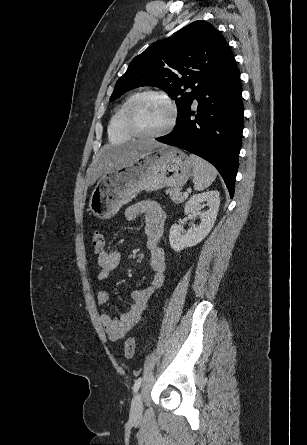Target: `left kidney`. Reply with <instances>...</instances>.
<instances>
[{"mask_svg":"<svg viewBox=\"0 0 307 445\" xmlns=\"http://www.w3.org/2000/svg\"><path fill=\"white\" fill-rule=\"evenodd\" d=\"M201 202H207V204H209V210L199 212L201 218L199 227H192V229L184 231L181 225H172L170 229V247L173 251H176V253H180V251L186 249V247L198 245V243H201V241L209 235L211 229H213L220 204L218 190H209V192L194 194V196H191L188 202H186L184 212H186V214L196 212V210H199Z\"/></svg>","mask_w":307,"mask_h":445,"instance_id":"5707ae66","label":"left kidney"}]
</instances>
